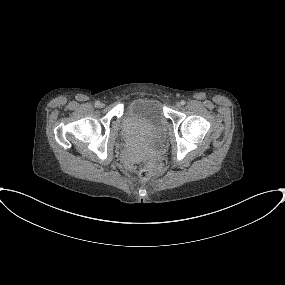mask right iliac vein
<instances>
[{"mask_svg":"<svg viewBox=\"0 0 285 285\" xmlns=\"http://www.w3.org/2000/svg\"><path fill=\"white\" fill-rule=\"evenodd\" d=\"M103 106H104V104H103V103H100L98 107H103Z\"/></svg>","mask_w":285,"mask_h":285,"instance_id":"1","label":"right iliac vein"}]
</instances>
